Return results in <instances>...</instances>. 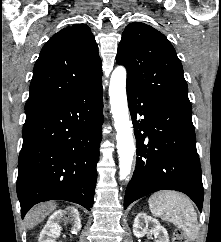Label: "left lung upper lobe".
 I'll use <instances>...</instances> for the list:
<instances>
[{
  "label": "left lung upper lobe",
  "mask_w": 221,
  "mask_h": 242,
  "mask_svg": "<svg viewBox=\"0 0 221 242\" xmlns=\"http://www.w3.org/2000/svg\"><path fill=\"white\" fill-rule=\"evenodd\" d=\"M127 82L152 99L191 113L183 68L169 40L153 27L133 22L122 33L116 56Z\"/></svg>",
  "instance_id": "1"
}]
</instances>
